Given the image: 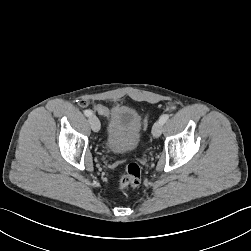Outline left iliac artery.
Returning <instances> with one entry per match:
<instances>
[{"mask_svg": "<svg viewBox=\"0 0 251 251\" xmlns=\"http://www.w3.org/2000/svg\"><path fill=\"white\" fill-rule=\"evenodd\" d=\"M170 115L169 114H164L160 117V121L162 122V124H164L168 119H169Z\"/></svg>", "mask_w": 251, "mask_h": 251, "instance_id": "obj_1", "label": "left iliac artery"}]
</instances>
